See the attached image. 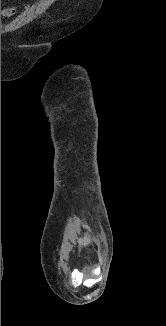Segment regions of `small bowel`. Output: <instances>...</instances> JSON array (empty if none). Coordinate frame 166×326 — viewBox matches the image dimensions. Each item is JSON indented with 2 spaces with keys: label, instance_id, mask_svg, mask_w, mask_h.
Wrapping results in <instances>:
<instances>
[{
  "label": "small bowel",
  "instance_id": "small-bowel-1",
  "mask_svg": "<svg viewBox=\"0 0 166 326\" xmlns=\"http://www.w3.org/2000/svg\"><path fill=\"white\" fill-rule=\"evenodd\" d=\"M4 1H12V0H4ZM17 9L14 5L8 6L1 10V16L10 17L16 13Z\"/></svg>",
  "mask_w": 166,
  "mask_h": 326
}]
</instances>
